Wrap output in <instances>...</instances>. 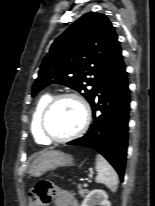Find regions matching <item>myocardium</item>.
<instances>
[{"instance_id": "f54148a6", "label": "myocardium", "mask_w": 155, "mask_h": 206, "mask_svg": "<svg viewBox=\"0 0 155 206\" xmlns=\"http://www.w3.org/2000/svg\"><path fill=\"white\" fill-rule=\"evenodd\" d=\"M63 99H74L75 101L78 102V104L81 107L82 110V123L81 126L79 127L78 130H76L74 133L65 136V137H61V138H57V137H53L51 136L47 129H46V118L50 112V110L52 109V107L59 102L60 100ZM91 122V110L89 107L88 102L79 94L74 93V92H64V93H60L58 95L53 96L49 102L46 104V106L44 107L41 116H40V132L41 134L44 136V138L49 141V142H58V143H64L70 140H73L77 137L82 136L86 130L88 129L89 125Z\"/></svg>"}]
</instances>
